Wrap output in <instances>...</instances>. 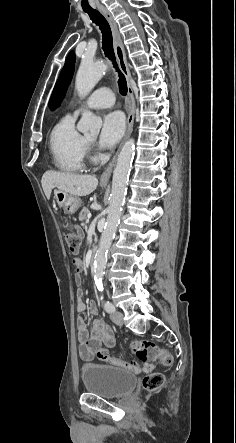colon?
I'll return each instance as SVG.
<instances>
[{"label":"colon","mask_w":236,"mask_h":443,"mask_svg":"<svg viewBox=\"0 0 236 443\" xmlns=\"http://www.w3.org/2000/svg\"><path fill=\"white\" fill-rule=\"evenodd\" d=\"M65 229V241L71 253H76L79 250L81 243V232L76 223L67 221L64 224ZM75 265V260L73 261ZM81 272L80 269L75 266V279L79 278ZM132 353L143 364L142 370L148 371L151 369L153 363L159 361L163 365L170 366L173 363L171 353L163 348H160L153 341L139 339L134 340L130 344ZM87 354V353H85ZM97 357L105 362H108L114 366L121 367L123 369H130L138 371L139 367L133 361L125 360L121 357L110 356L106 348L98 347L96 349ZM165 381V377L160 372H154L146 375L143 380V386L148 391H155L159 389Z\"/></svg>","instance_id":"1"}]
</instances>
